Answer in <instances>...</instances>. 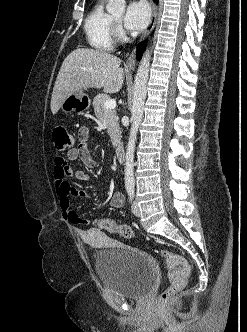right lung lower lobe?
Returning <instances> with one entry per match:
<instances>
[{"instance_id": "right-lung-lower-lobe-1", "label": "right lung lower lobe", "mask_w": 247, "mask_h": 332, "mask_svg": "<svg viewBox=\"0 0 247 332\" xmlns=\"http://www.w3.org/2000/svg\"><path fill=\"white\" fill-rule=\"evenodd\" d=\"M158 0H154V2H157ZM146 46V41L140 43L137 47V52H136V58L137 60H140L142 57V53L144 52Z\"/></svg>"}]
</instances>
